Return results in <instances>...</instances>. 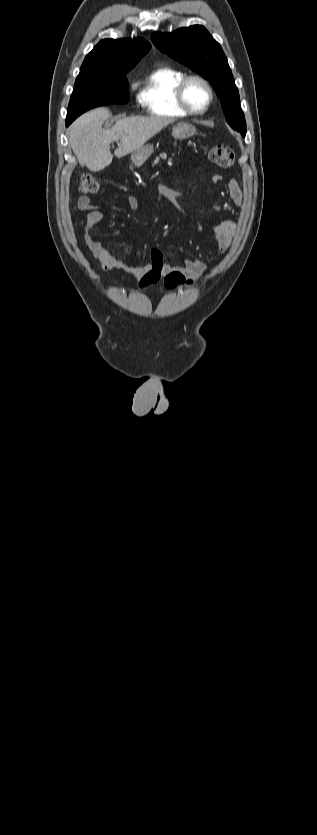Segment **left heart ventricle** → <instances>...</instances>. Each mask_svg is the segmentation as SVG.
Returning a JSON list of instances; mask_svg holds the SVG:
<instances>
[{"label": "left heart ventricle", "mask_w": 317, "mask_h": 835, "mask_svg": "<svg viewBox=\"0 0 317 835\" xmlns=\"http://www.w3.org/2000/svg\"><path fill=\"white\" fill-rule=\"evenodd\" d=\"M186 97L192 108L201 109L207 103L209 94L203 84L193 81L188 85Z\"/></svg>", "instance_id": "b2bd125f"}]
</instances>
